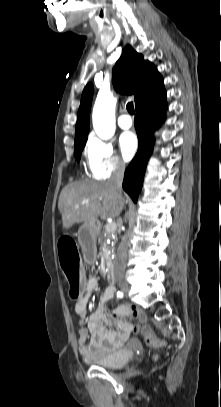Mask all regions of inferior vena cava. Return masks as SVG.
<instances>
[{"label":"inferior vena cava","instance_id":"obj_1","mask_svg":"<svg viewBox=\"0 0 221 407\" xmlns=\"http://www.w3.org/2000/svg\"><path fill=\"white\" fill-rule=\"evenodd\" d=\"M125 171V164L122 161H117L113 170V173L107 183L114 188V190L118 193L120 199L123 200L121 195V185L124 177ZM127 252L128 248L124 239H122L121 244L117 250V257L115 260V274L121 275L124 273L126 268V260H127Z\"/></svg>","mask_w":221,"mask_h":407}]
</instances>
